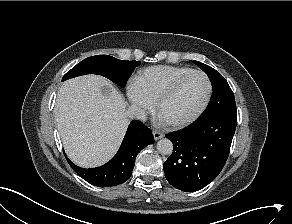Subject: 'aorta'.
Here are the masks:
<instances>
[{"instance_id":"obj_1","label":"aorta","mask_w":292,"mask_h":224,"mask_svg":"<svg viewBox=\"0 0 292 224\" xmlns=\"http://www.w3.org/2000/svg\"><path fill=\"white\" fill-rule=\"evenodd\" d=\"M157 150L164 155H170L173 152V143L167 139H161L157 142Z\"/></svg>"}]
</instances>
